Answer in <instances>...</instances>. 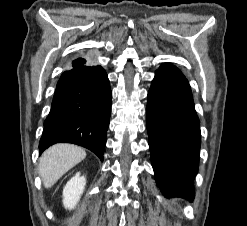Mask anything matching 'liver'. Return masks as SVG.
<instances>
[{
	"label": "liver",
	"instance_id": "6515ba94",
	"mask_svg": "<svg viewBox=\"0 0 247 226\" xmlns=\"http://www.w3.org/2000/svg\"><path fill=\"white\" fill-rule=\"evenodd\" d=\"M85 157V150L76 145L60 143L48 148L42 154L39 163V175L44 187H52L62 175Z\"/></svg>",
	"mask_w": 247,
	"mask_h": 226
}]
</instances>
